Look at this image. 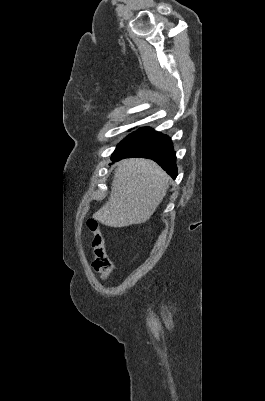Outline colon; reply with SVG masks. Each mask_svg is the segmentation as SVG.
Wrapping results in <instances>:
<instances>
[{
	"mask_svg": "<svg viewBox=\"0 0 265 401\" xmlns=\"http://www.w3.org/2000/svg\"><path fill=\"white\" fill-rule=\"evenodd\" d=\"M86 225L92 235L91 246L94 253L92 266L101 277H107L113 269V264L106 253L104 238L100 232L98 222L89 219Z\"/></svg>",
	"mask_w": 265,
	"mask_h": 401,
	"instance_id": "colon-1",
	"label": "colon"
}]
</instances>
